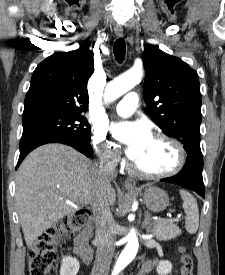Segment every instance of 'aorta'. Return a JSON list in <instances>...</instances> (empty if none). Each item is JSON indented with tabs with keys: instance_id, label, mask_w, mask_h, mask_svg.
Here are the masks:
<instances>
[{
	"instance_id": "aorta-1",
	"label": "aorta",
	"mask_w": 225,
	"mask_h": 275,
	"mask_svg": "<svg viewBox=\"0 0 225 275\" xmlns=\"http://www.w3.org/2000/svg\"><path fill=\"white\" fill-rule=\"evenodd\" d=\"M142 77V69L132 68L109 82L104 93L105 103L109 104L131 90L136 84L140 83ZM126 239L127 244L115 264L112 275L119 274L137 254L139 242L135 228L130 229Z\"/></svg>"
}]
</instances>
